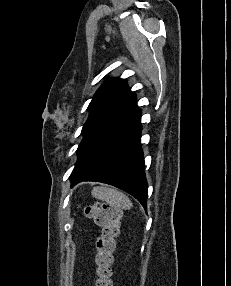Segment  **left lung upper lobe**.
<instances>
[{
	"mask_svg": "<svg viewBox=\"0 0 231 286\" xmlns=\"http://www.w3.org/2000/svg\"><path fill=\"white\" fill-rule=\"evenodd\" d=\"M133 94L123 79H108L104 82L88 106L89 116L83 126L82 134L85 135L91 128L128 100Z\"/></svg>",
	"mask_w": 231,
	"mask_h": 286,
	"instance_id": "obj_1",
	"label": "left lung upper lobe"
}]
</instances>
